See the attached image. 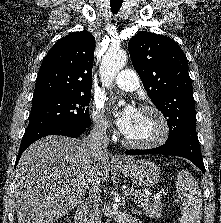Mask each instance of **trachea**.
<instances>
[{"instance_id":"3493384b","label":"trachea","mask_w":221,"mask_h":223,"mask_svg":"<svg viewBox=\"0 0 221 223\" xmlns=\"http://www.w3.org/2000/svg\"><path fill=\"white\" fill-rule=\"evenodd\" d=\"M122 2L123 0H111L110 7L113 14H116L120 10Z\"/></svg>"}]
</instances>
